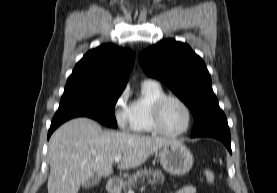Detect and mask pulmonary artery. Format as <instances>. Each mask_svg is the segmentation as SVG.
<instances>
[{"label": "pulmonary artery", "instance_id": "1", "mask_svg": "<svg viewBox=\"0 0 277 193\" xmlns=\"http://www.w3.org/2000/svg\"><path fill=\"white\" fill-rule=\"evenodd\" d=\"M144 83H157V82L154 80H145Z\"/></svg>", "mask_w": 277, "mask_h": 193}]
</instances>
